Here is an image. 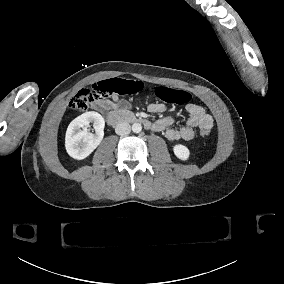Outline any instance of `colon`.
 <instances>
[{
  "label": "colon",
  "mask_w": 284,
  "mask_h": 284,
  "mask_svg": "<svg viewBox=\"0 0 284 284\" xmlns=\"http://www.w3.org/2000/svg\"><path fill=\"white\" fill-rule=\"evenodd\" d=\"M144 88L142 80L132 79H109L98 81L82 87L70 100V107L74 110L87 111L105 101L112 95H134ZM156 94L159 98L172 104H184L188 100V94L184 91H176L158 87ZM201 136L208 138V128L201 130Z\"/></svg>",
  "instance_id": "1"
}]
</instances>
